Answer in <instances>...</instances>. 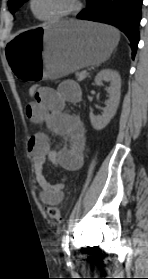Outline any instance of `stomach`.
Returning a JSON list of instances; mask_svg holds the SVG:
<instances>
[{"mask_svg":"<svg viewBox=\"0 0 148 279\" xmlns=\"http://www.w3.org/2000/svg\"><path fill=\"white\" fill-rule=\"evenodd\" d=\"M116 29L91 22L48 23L18 33L6 45L16 82H53L106 61L116 47Z\"/></svg>","mask_w":148,"mask_h":279,"instance_id":"obj_1","label":"stomach"}]
</instances>
